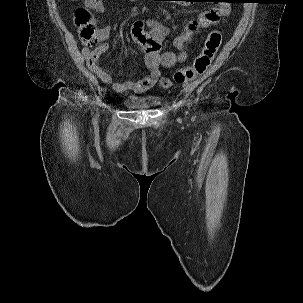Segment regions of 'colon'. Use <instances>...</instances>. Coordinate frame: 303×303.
Wrapping results in <instances>:
<instances>
[{
    "mask_svg": "<svg viewBox=\"0 0 303 303\" xmlns=\"http://www.w3.org/2000/svg\"><path fill=\"white\" fill-rule=\"evenodd\" d=\"M84 1L87 3V0ZM75 24L79 28V36L84 46L93 47L98 42L99 34L92 14L84 7H79L75 12ZM221 40L219 30L211 31L193 63L175 73V82L182 84L203 75L220 47Z\"/></svg>",
    "mask_w": 303,
    "mask_h": 303,
    "instance_id": "colon-1",
    "label": "colon"
}]
</instances>
